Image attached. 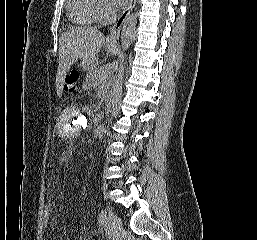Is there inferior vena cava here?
I'll list each match as a JSON object with an SVG mask.
<instances>
[{
  "label": "inferior vena cava",
  "mask_w": 257,
  "mask_h": 240,
  "mask_svg": "<svg viewBox=\"0 0 257 240\" xmlns=\"http://www.w3.org/2000/svg\"><path fill=\"white\" fill-rule=\"evenodd\" d=\"M115 20H116V11H115V9H110L109 21H110V23H114Z\"/></svg>",
  "instance_id": "1"
}]
</instances>
